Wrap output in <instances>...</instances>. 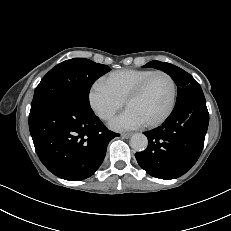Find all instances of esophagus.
Returning <instances> with one entry per match:
<instances>
[{
	"instance_id": "34e87169",
	"label": "esophagus",
	"mask_w": 231,
	"mask_h": 231,
	"mask_svg": "<svg viewBox=\"0 0 231 231\" xmlns=\"http://www.w3.org/2000/svg\"><path fill=\"white\" fill-rule=\"evenodd\" d=\"M132 134L131 133H122L121 136L124 138H129Z\"/></svg>"
}]
</instances>
